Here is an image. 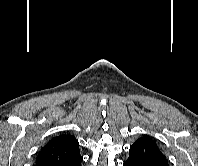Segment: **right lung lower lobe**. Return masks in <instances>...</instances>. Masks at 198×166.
I'll return each mask as SVG.
<instances>
[{
	"label": "right lung lower lobe",
	"mask_w": 198,
	"mask_h": 166,
	"mask_svg": "<svg viewBox=\"0 0 198 166\" xmlns=\"http://www.w3.org/2000/svg\"><path fill=\"white\" fill-rule=\"evenodd\" d=\"M82 160H83V158L80 157V158L75 159L73 161H70V162H67V163H64V164L55 165V166H80Z\"/></svg>",
	"instance_id": "1"
}]
</instances>
